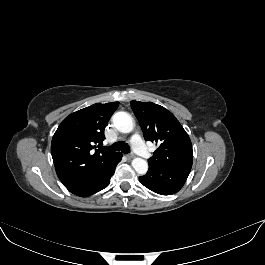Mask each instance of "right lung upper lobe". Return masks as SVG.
I'll use <instances>...</instances> for the list:
<instances>
[{
  "mask_svg": "<svg viewBox=\"0 0 265 265\" xmlns=\"http://www.w3.org/2000/svg\"><path fill=\"white\" fill-rule=\"evenodd\" d=\"M118 105V102L93 104L70 114L59 125L52 138L51 154L56 173L65 187L118 153L100 149L104 129Z\"/></svg>",
  "mask_w": 265,
  "mask_h": 265,
  "instance_id": "1",
  "label": "right lung upper lobe"
}]
</instances>
